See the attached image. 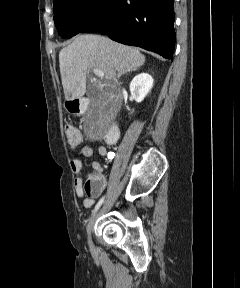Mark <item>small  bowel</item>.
<instances>
[{"instance_id": "c3829d8e", "label": "small bowel", "mask_w": 240, "mask_h": 288, "mask_svg": "<svg viewBox=\"0 0 240 288\" xmlns=\"http://www.w3.org/2000/svg\"><path fill=\"white\" fill-rule=\"evenodd\" d=\"M98 152L102 156L110 157L113 155L112 153L108 152L104 146H99ZM92 154H93V146L90 144H84L83 146H81V148L79 149V151L77 153H75L71 156V160H70L71 169H72V172L74 173V176H75L74 177V188H75L76 194L79 197L84 198L83 204L86 208H90L93 206V204L95 202L94 198L98 197L103 192V190L106 187V183H107L106 178L103 175V168L100 165V163L97 161L91 162L90 166L94 172L91 175V177H93L94 179H96L98 181L99 190L93 197H86L85 198V194H84V190H83V181L81 178L82 162H81L80 156L91 157Z\"/></svg>"}]
</instances>
